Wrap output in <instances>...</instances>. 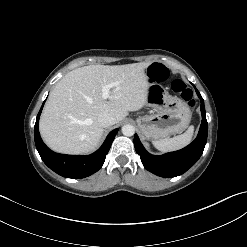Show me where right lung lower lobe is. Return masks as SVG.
Here are the masks:
<instances>
[{"mask_svg": "<svg viewBox=\"0 0 247 247\" xmlns=\"http://www.w3.org/2000/svg\"><path fill=\"white\" fill-rule=\"evenodd\" d=\"M43 105L37 115L34 128L36 148L43 162L51 170L66 178L80 179L97 172L104 164L106 154L108 153L111 144L115 138V135L118 132V128L111 131L104 141L103 145L91 155L81 156L58 154L50 150L44 144L39 134L38 122Z\"/></svg>", "mask_w": 247, "mask_h": 247, "instance_id": "1", "label": "right lung lower lobe"}]
</instances>
